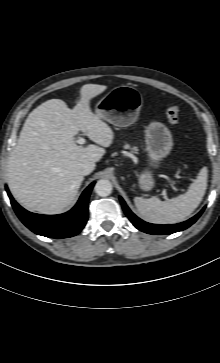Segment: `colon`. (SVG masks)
Here are the masks:
<instances>
[{"label": "colon", "mask_w": 220, "mask_h": 363, "mask_svg": "<svg viewBox=\"0 0 220 363\" xmlns=\"http://www.w3.org/2000/svg\"><path fill=\"white\" fill-rule=\"evenodd\" d=\"M166 117L172 126H176L179 122V109L177 106H169L166 110Z\"/></svg>", "instance_id": "5ec220e1"}]
</instances>
